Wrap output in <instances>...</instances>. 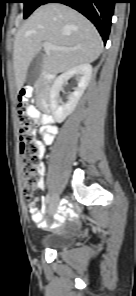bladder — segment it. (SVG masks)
Segmentation results:
<instances>
[{
	"label": "bladder",
	"mask_w": 136,
	"mask_h": 296,
	"mask_svg": "<svg viewBox=\"0 0 136 296\" xmlns=\"http://www.w3.org/2000/svg\"><path fill=\"white\" fill-rule=\"evenodd\" d=\"M74 241V235H57L47 240L46 246L49 248H63L70 245Z\"/></svg>",
	"instance_id": "1"
}]
</instances>
